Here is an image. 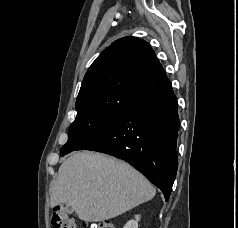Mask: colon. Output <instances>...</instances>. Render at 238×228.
Here are the masks:
<instances>
[{"label": "colon", "instance_id": "1", "mask_svg": "<svg viewBox=\"0 0 238 228\" xmlns=\"http://www.w3.org/2000/svg\"><path fill=\"white\" fill-rule=\"evenodd\" d=\"M51 223L53 228H75L74 221L66 208L56 206L51 211ZM88 228H114L110 220H102L91 223Z\"/></svg>", "mask_w": 238, "mask_h": 228}]
</instances>
